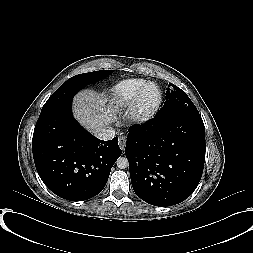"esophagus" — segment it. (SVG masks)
Segmentation results:
<instances>
[{
	"instance_id": "1",
	"label": "esophagus",
	"mask_w": 253,
	"mask_h": 253,
	"mask_svg": "<svg viewBox=\"0 0 253 253\" xmlns=\"http://www.w3.org/2000/svg\"><path fill=\"white\" fill-rule=\"evenodd\" d=\"M118 144H119V147L121 148V150H124L125 146H126V137L120 136L119 140H118Z\"/></svg>"
}]
</instances>
